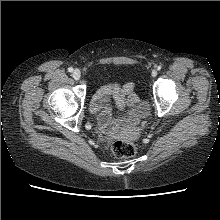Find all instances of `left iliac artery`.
Wrapping results in <instances>:
<instances>
[{"label": "left iliac artery", "instance_id": "obj_1", "mask_svg": "<svg viewBox=\"0 0 220 220\" xmlns=\"http://www.w3.org/2000/svg\"><path fill=\"white\" fill-rule=\"evenodd\" d=\"M161 69V66L159 65L158 67H157V70H160Z\"/></svg>", "mask_w": 220, "mask_h": 220}]
</instances>
